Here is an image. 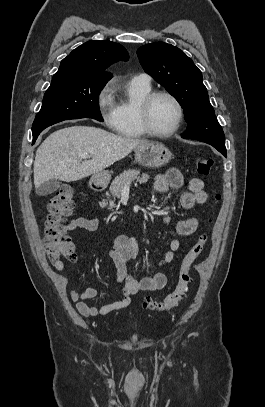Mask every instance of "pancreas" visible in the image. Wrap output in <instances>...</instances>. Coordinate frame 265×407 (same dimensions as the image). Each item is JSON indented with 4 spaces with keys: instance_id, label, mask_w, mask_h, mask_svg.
I'll return each instance as SVG.
<instances>
[{
    "instance_id": "obj_1",
    "label": "pancreas",
    "mask_w": 265,
    "mask_h": 407,
    "mask_svg": "<svg viewBox=\"0 0 265 407\" xmlns=\"http://www.w3.org/2000/svg\"><path fill=\"white\" fill-rule=\"evenodd\" d=\"M149 179L148 174H142L140 177V171L139 170H127L124 171L122 174L117 176L111 183L109 191L112 194V196L115 198H119L122 190L124 189L125 186H129L134 180H137L139 183H146ZM99 205L103 208L108 205L107 202L102 201L99 203ZM116 205L114 204V201L110 200L109 201V207L108 209L115 208Z\"/></svg>"
}]
</instances>
